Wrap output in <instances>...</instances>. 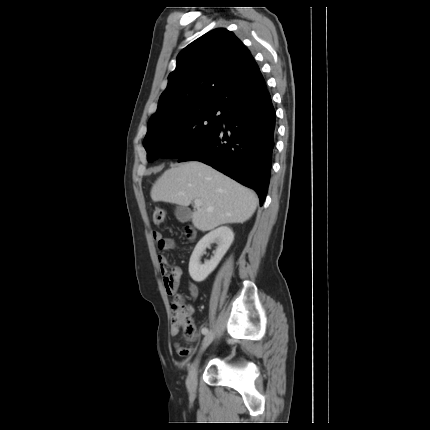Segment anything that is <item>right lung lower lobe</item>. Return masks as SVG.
<instances>
[{
    "instance_id": "1",
    "label": "right lung lower lobe",
    "mask_w": 430,
    "mask_h": 430,
    "mask_svg": "<svg viewBox=\"0 0 430 430\" xmlns=\"http://www.w3.org/2000/svg\"><path fill=\"white\" fill-rule=\"evenodd\" d=\"M221 127L178 161L206 163L256 191L263 204L275 146L276 114L264 79L221 107Z\"/></svg>"
}]
</instances>
